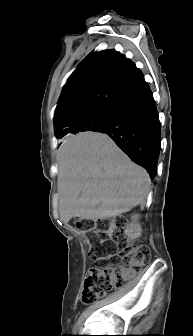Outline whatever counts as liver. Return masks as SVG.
<instances>
[{"instance_id": "liver-1", "label": "liver", "mask_w": 193, "mask_h": 336, "mask_svg": "<svg viewBox=\"0 0 193 336\" xmlns=\"http://www.w3.org/2000/svg\"><path fill=\"white\" fill-rule=\"evenodd\" d=\"M59 214L104 220L143 205L150 189L147 171L135 164L106 134L79 133L57 152Z\"/></svg>"}]
</instances>
